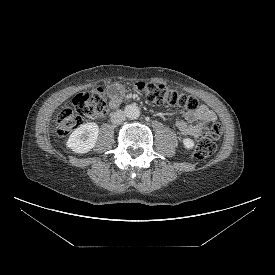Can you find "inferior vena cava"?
I'll use <instances>...</instances> for the list:
<instances>
[{"label":"inferior vena cava","instance_id":"1","mask_svg":"<svg viewBox=\"0 0 275 275\" xmlns=\"http://www.w3.org/2000/svg\"><path fill=\"white\" fill-rule=\"evenodd\" d=\"M125 113L124 111L117 110L111 116V122L114 124H120L125 120Z\"/></svg>","mask_w":275,"mask_h":275}]
</instances>
